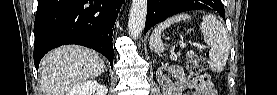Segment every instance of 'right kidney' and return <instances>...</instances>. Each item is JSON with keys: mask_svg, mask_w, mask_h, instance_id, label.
I'll return each instance as SVG.
<instances>
[{"mask_svg": "<svg viewBox=\"0 0 277 95\" xmlns=\"http://www.w3.org/2000/svg\"><path fill=\"white\" fill-rule=\"evenodd\" d=\"M97 92L99 95H106L107 88L101 86L95 80H88L76 85L69 93V95H92V93Z\"/></svg>", "mask_w": 277, "mask_h": 95, "instance_id": "obj_1", "label": "right kidney"}]
</instances>
